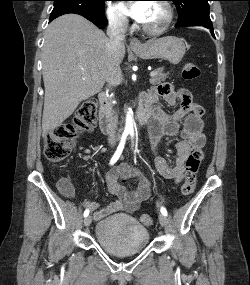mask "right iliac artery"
Masks as SVG:
<instances>
[{"mask_svg":"<svg viewBox=\"0 0 250 285\" xmlns=\"http://www.w3.org/2000/svg\"><path fill=\"white\" fill-rule=\"evenodd\" d=\"M127 134H123L121 137V141L117 147V150L115 151L113 157L110 160V165H113L114 163L117 162L119 159L120 155L122 154V151L124 149L125 141H126ZM89 215V209H86L84 211V217H87Z\"/></svg>","mask_w":250,"mask_h":285,"instance_id":"obj_1","label":"right iliac artery"}]
</instances>
